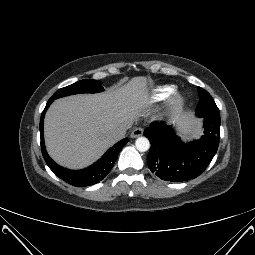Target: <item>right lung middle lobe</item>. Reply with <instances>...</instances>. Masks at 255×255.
<instances>
[{
  "mask_svg": "<svg viewBox=\"0 0 255 255\" xmlns=\"http://www.w3.org/2000/svg\"><path fill=\"white\" fill-rule=\"evenodd\" d=\"M103 90L104 89L100 81L93 80V79H84L72 85H69L67 87L59 89L53 94V96L49 100L54 101L57 98L68 96V95H73L78 93H97Z\"/></svg>",
  "mask_w": 255,
  "mask_h": 255,
  "instance_id": "dd1d6c3e",
  "label": "right lung middle lobe"
}]
</instances>
